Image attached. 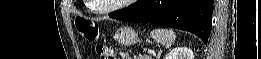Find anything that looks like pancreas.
Here are the masks:
<instances>
[{
	"label": "pancreas",
	"mask_w": 261,
	"mask_h": 59,
	"mask_svg": "<svg viewBox=\"0 0 261 59\" xmlns=\"http://www.w3.org/2000/svg\"><path fill=\"white\" fill-rule=\"evenodd\" d=\"M137 59H152V58L149 55H146V54L141 55L140 54Z\"/></svg>",
	"instance_id": "1"
}]
</instances>
